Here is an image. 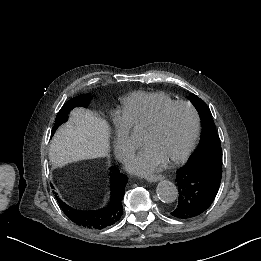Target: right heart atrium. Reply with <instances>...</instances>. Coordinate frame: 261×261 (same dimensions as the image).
<instances>
[{"label":"right heart atrium","mask_w":261,"mask_h":261,"mask_svg":"<svg viewBox=\"0 0 261 261\" xmlns=\"http://www.w3.org/2000/svg\"><path fill=\"white\" fill-rule=\"evenodd\" d=\"M113 122L117 129V136L114 141L115 151L119 154L121 159H124L122 150L128 151V148L130 146L127 141L130 130V123L127 119L122 117L121 112L119 110H116L113 117Z\"/></svg>","instance_id":"d8ad5b80"}]
</instances>
